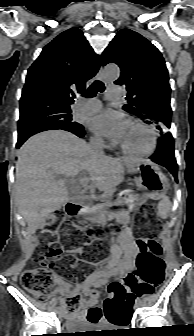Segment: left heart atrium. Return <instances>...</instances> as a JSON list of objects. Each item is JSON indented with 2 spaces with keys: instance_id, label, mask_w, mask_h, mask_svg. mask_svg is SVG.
<instances>
[{
  "instance_id": "obj_1",
  "label": "left heart atrium",
  "mask_w": 194,
  "mask_h": 336,
  "mask_svg": "<svg viewBox=\"0 0 194 336\" xmlns=\"http://www.w3.org/2000/svg\"><path fill=\"white\" fill-rule=\"evenodd\" d=\"M126 124L127 122L122 113L113 110H105L92 118L90 127L96 134L119 143Z\"/></svg>"
}]
</instances>
